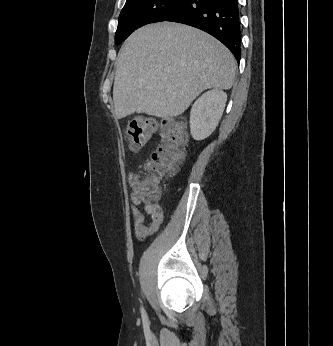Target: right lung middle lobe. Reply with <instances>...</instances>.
<instances>
[{
    "mask_svg": "<svg viewBox=\"0 0 333 346\" xmlns=\"http://www.w3.org/2000/svg\"><path fill=\"white\" fill-rule=\"evenodd\" d=\"M184 0H127L115 34V44L123 42L132 32L149 23L164 21Z\"/></svg>",
    "mask_w": 333,
    "mask_h": 346,
    "instance_id": "1",
    "label": "right lung middle lobe"
}]
</instances>
